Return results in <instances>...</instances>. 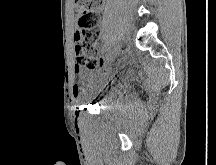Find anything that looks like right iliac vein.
Segmentation results:
<instances>
[{
    "mask_svg": "<svg viewBox=\"0 0 216 165\" xmlns=\"http://www.w3.org/2000/svg\"><path fill=\"white\" fill-rule=\"evenodd\" d=\"M120 51L119 45H117L114 49V52L112 53V56L115 57ZM112 64L115 62L113 59L110 61Z\"/></svg>",
    "mask_w": 216,
    "mask_h": 165,
    "instance_id": "right-iliac-vein-1",
    "label": "right iliac vein"
}]
</instances>
